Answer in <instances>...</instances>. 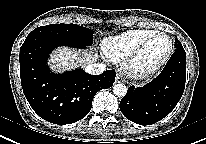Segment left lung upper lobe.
Wrapping results in <instances>:
<instances>
[{"label":"left lung upper lobe","instance_id":"obj_1","mask_svg":"<svg viewBox=\"0 0 206 144\" xmlns=\"http://www.w3.org/2000/svg\"><path fill=\"white\" fill-rule=\"evenodd\" d=\"M177 43H180V41L176 39V40H175V44H177Z\"/></svg>","mask_w":206,"mask_h":144}]
</instances>
